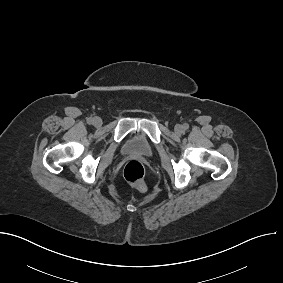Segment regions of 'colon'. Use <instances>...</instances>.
Here are the masks:
<instances>
[{
  "label": "colon",
  "instance_id": "obj_1",
  "mask_svg": "<svg viewBox=\"0 0 283 283\" xmlns=\"http://www.w3.org/2000/svg\"><path fill=\"white\" fill-rule=\"evenodd\" d=\"M123 175L124 178L138 190L142 192L146 190L144 182L145 169L139 161L133 160L128 162L124 167Z\"/></svg>",
  "mask_w": 283,
  "mask_h": 283
}]
</instances>
